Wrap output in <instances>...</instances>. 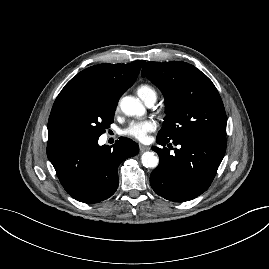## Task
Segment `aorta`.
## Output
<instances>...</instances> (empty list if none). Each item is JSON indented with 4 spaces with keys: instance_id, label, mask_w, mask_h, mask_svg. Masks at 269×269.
Wrapping results in <instances>:
<instances>
[{
    "instance_id": "1",
    "label": "aorta",
    "mask_w": 269,
    "mask_h": 269,
    "mask_svg": "<svg viewBox=\"0 0 269 269\" xmlns=\"http://www.w3.org/2000/svg\"><path fill=\"white\" fill-rule=\"evenodd\" d=\"M120 107L128 116H142L145 113V108L139 99L131 96L122 98ZM141 162L147 168H155L159 164V158L154 152L147 151L142 154Z\"/></svg>"
}]
</instances>
